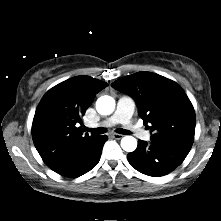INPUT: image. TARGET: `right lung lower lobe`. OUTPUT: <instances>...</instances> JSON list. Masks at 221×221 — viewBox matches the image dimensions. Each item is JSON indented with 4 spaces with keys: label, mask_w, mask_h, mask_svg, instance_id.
<instances>
[{
    "label": "right lung lower lobe",
    "mask_w": 221,
    "mask_h": 221,
    "mask_svg": "<svg viewBox=\"0 0 221 221\" xmlns=\"http://www.w3.org/2000/svg\"><path fill=\"white\" fill-rule=\"evenodd\" d=\"M107 139L106 135H100L86 153L79 157L72 165L58 173L65 177L76 178L90 171L99 162L103 145Z\"/></svg>",
    "instance_id": "98d812e1"
}]
</instances>
